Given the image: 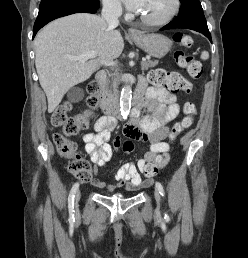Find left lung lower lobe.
Segmentation results:
<instances>
[{"mask_svg": "<svg viewBox=\"0 0 248 258\" xmlns=\"http://www.w3.org/2000/svg\"><path fill=\"white\" fill-rule=\"evenodd\" d=\"M174 28H185L200 32L212 42L204 14H196L186 19L175 18L169 24L161 28V30Z\"/></svg>", "mask_w": 248, "mask_h": 258, "instance_id": "obj_1", "label": "left lung lower lobe"}]
</instances>
